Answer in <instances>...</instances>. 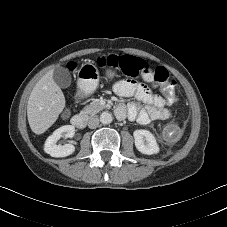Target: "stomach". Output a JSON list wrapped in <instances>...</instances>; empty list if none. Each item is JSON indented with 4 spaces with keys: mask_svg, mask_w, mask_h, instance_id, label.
Masks as SVG:
<instances>
[{
    "mask_svg": "<svg viewBox=\"0 0 227 227\" xmlns=\"http://www.w3.org/2000/svg\"><path fill=\"white\" fill-rule=\"evenodd\" d=\"M106 74L108 77L115 76V72L112 70H108ZM78 75L80 90L85 94L93 93L99 84L100 78L97 67L91 63H85L80 67Z\"/></svg>",
    "mask_w": 227,
    "mask_h": 227,
    "instance_id": "1",
    "label": "stomach"
}]
</instances>
